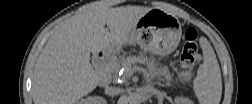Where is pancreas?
Returning a JSON list of instances; mask_svg holds the SVG:
<instances>
[{"instance_id": "pancreas-1", "label": "pancreas", "mask_w": 252, "mask_h": 104, "mask_svg": "<svg viewBox=\"0 0 252 104\" xmlns=\"http://www.w3.org/2000/svg\"><path fill=\"white\" fill-rule=\"evenodd\" d=\"M148 62H149V59L146 57H131L126 60L125 64L127 66H136L137 63L147 64ZM120 68H121V64L116 60V61H113L112 63H109L106 66V71L111 75L114 72L118 71ZM159 74L161 76H164L167 80L172 79L169 69L166 66L159 70ZM125 77H128V74H125Z\"/></svg>"}]
</instances>
